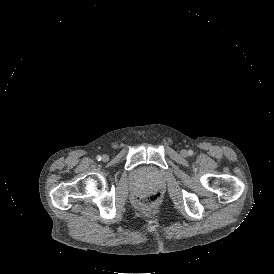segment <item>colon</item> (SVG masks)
<instances>
[{
	"instance_id": "1",
	"label": "colon",
	"mask_w": 274,
	"mask_h": 274,
	"mask_svg": "<svg viewBox=\"0 0 274 274\" xmlns=\"http://www.w3.org/2000/svg\"><path fill=\"white\" fill-rule=\"evenodd\" d=\"M164 201V195L160 191H150L143 193L140 197L134 199V206L141 211H146L150 208L157 207Z\"/></svg>"
}]
</instances>
